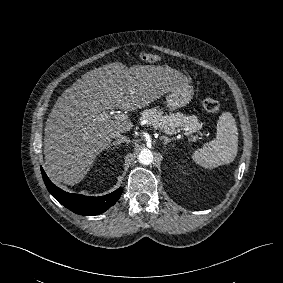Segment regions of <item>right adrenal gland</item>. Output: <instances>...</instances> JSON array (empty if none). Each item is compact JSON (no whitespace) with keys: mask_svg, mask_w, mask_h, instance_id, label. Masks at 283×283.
Masks as SVG:
<instances>
[{"mask_svg":"<svg viewBox=\"0 0 283 283\" xmlns=\"http://www.w3.org/2000/svg\"><path fill=\"white\" fill-rule=\"evenodd\" d=\"M115 145H121V141H114L113 143H111V144L109 145V148H110L111 146H115Z\"/></svg>","mask_w":283,"mask_h":283,"instance_id":"right-adrenal-gland-1","label":"right adrenal gland"}]
</instances>
